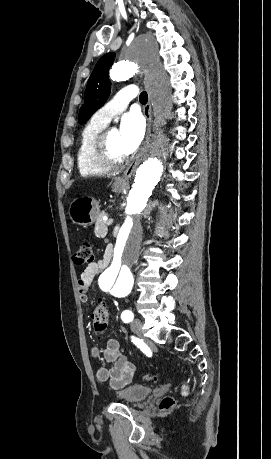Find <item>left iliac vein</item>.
Wrapping results in <instances>:
<instances>
[{
	"label": "left iliac vein",
	"instance_id": "4c4485c4",
	"mask_svg": "<svg viewBox=\"0 0 271 459\" xmlns=\"http://www.w3.org/2000/svg\"><path fill=\"white\" fill-rule=\"evenodd\" d=\"M132 331L134 332L135 335L142 337L143 336V330H142V322L140 319L135 318L132 321Z\"/></svg>",
	"mask_w": 271,
	"mask_h": 459
}]
</instances>
